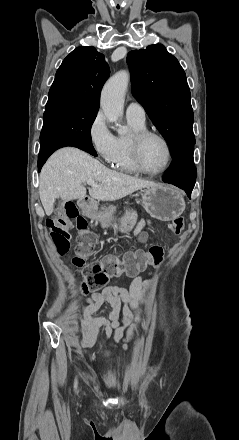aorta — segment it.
Returning a JSON list of instances; mask_svg holds the SVG:
<instances>
[{"label": "aorta", "instance_id": "1", "mask_svg": "<svg viewBox=\"0 0 239 440\" xmlns=\"http://www.w3.org/2000/svg\"><path fill=\"white\" fill-rule=\"evenodd\" d=\"M130 82V74L121 70L107 80L100 98V106L108 122H117L123 116L125 92ZM118 134H127L128 126H118Z\"/></svg>", "mask_w": 239, "mask_h": 440}]
</instances>
